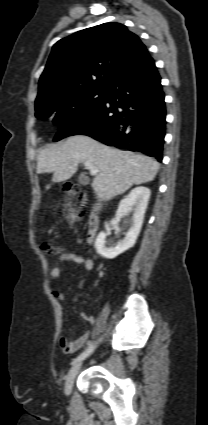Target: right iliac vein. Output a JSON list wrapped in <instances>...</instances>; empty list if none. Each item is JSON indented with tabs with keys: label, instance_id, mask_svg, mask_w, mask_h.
Masks as SVG:
<instances>
[{
	"label": "right iliac vein",
	"instance_id": "63e3f726",
	"mask_svg": "<svg viewBox=\"0 0 208 425\" xmlns=\"http://www.w3.org/2000/svg\"><path fill=\"white\" fill-rule=\"evenodd\" d=\"M82 361L76 362L69 370L65 380V394L69 395L72 391L74 380L80 370Z\"/></svg>",
	"mask_w": 208,
	"mask_h": 425
}]
</instances>
